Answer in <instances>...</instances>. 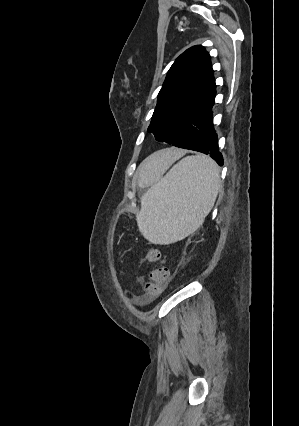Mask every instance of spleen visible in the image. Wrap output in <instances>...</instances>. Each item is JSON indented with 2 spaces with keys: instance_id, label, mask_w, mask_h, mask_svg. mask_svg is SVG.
I'll return each instance as SVG.
<instances>
[{
  "instance_id": "spleen-1",
  "label": "spleen",
  "mask_w": 299,
  "mask_h": 426,
  "mask_svg": "<svg viewBox=\"0 0 299 426\" xmlns=\"http://www.w3.org/2000/svg\"><path fill=\"white\" fill-rule=\"evenodd\" d=\"M219 186V169L209 157L181 159L141 197V210L136 215L139 231L153 244L182 240L202 225Z\"/></svg>"
}]
</instances>
